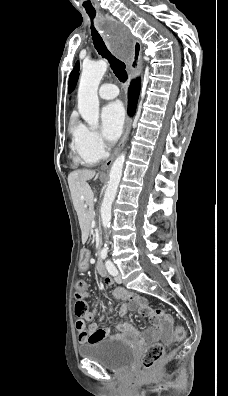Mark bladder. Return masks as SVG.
<instances>
[{"label":"bladder","instance_id":"obj_1","mask_svg":"<svg viewBox=\"0 0 228 396\" xmlns=\"http://www.w3.org/2000/svg\"><path fill=\"white\" fill-rule=\"evenodd\" d=\"M80 357L92 360L110 370H124L134 360V351L131 346L117 338L99 340L80 346Z\"/></svg>","mask_w":228,"mask_h":396}]
</instances>
